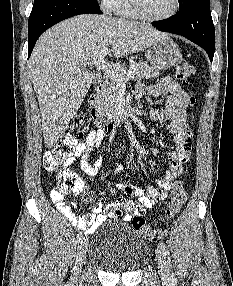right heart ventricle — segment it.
<instances>
[{"label":"right heart ventricle","mask_w":233,"mask_h":286,"mask_svg":"<svg viewBox=\"0 0 233 286\" xmlns=\"http://www.w3.org/2000/svg\"><path fill=\"white\" fill-rule=\"evenodd\" d=\"M116 15L127 18H138L129 0H115L111 9Z\"/></svg>","instance_id":"obj_1"}]
</instances>
